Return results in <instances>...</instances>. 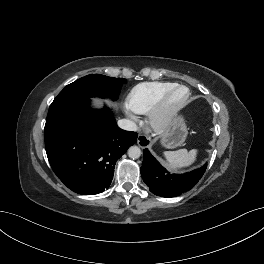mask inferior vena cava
Here are the masks:
<instances>
[{
  "instance_id": "inferior-vena-cava-1",
  "label": "inferior vena cava",
  "mask_w": 264,
  "mask_h": 264,
  "mask_svg": "<svg viewBox=\"0 0 264 264\" xmlns=\"http://www.w3.org/2000/svg\"><path fill=\"white\" fill-rule=\"evenodd\" d=\"M118 126L127 131H137V125L135 122L129 120V119H121L117 122Z\"/></svg>"
}]
</instances>
